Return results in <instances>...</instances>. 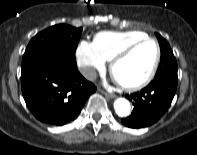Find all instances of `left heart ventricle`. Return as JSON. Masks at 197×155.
<instances>
[{
  "instance_id": "obj_1",
  "label": "left heart ventricle",
  "mask_w": 197,
  "mask_h": 155,
  "mask_svg": "<svg viewBox=\"0 0 197 155\" xmlns=\"http://www.w3.org/2000/svg\"><path fill=\"white\" fill-rule=\"evenodd\" d=\"M156 57L153 43H143L134 49L126 58L118 62L114 77L124 84H134L146 77Z\"/></svg>"
}]
</instances>
